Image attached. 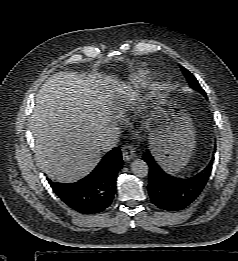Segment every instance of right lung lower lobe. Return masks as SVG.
Here are the masks:
<instances>
[{"label": "right lung lower lobe", "mask_w": 238, "mask_h": 261, "mask_svg": "<svg viewBox=\"0 0 238 261\" xmlns=\"http://www.w3.org/2000/svg\"><path fill=\"white\" fill-rule=\"evenodd\" d=\"M122 164L121 151L114 148L88 176L78 182L55 183L50 179L48 182L57 196L73 210L82 214L100 213L114 199L116 178Z\"/></svg>", "instance_id": "1"}]
</instances>
